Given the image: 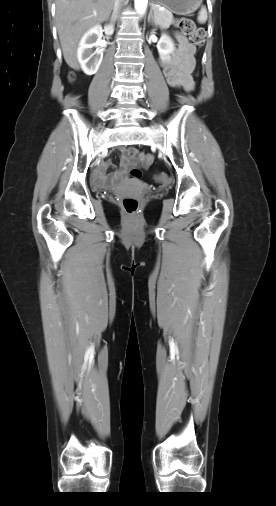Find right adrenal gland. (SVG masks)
Instances as JSON below:
<instances>
[{"label": "right adrenal gland", "instance_id": "obj_1", "mask_svg": "<svg viewBox=\"0 0 276 506\" xmlns=\"http://www.w3.org/2000/svg\"><path fill=\"white\" fill-rule=\"evenodd\" d=\"M117 20V11H115L114 15L111 17V22H116Z\"/></svg>", "mask_w": 276, "mask_h": 506}]
</instances>
